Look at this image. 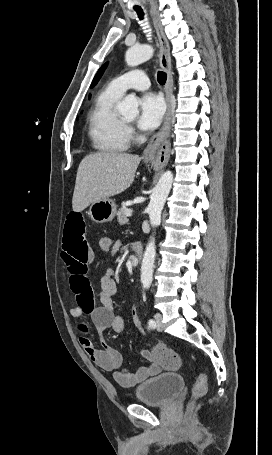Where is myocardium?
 Returning <instances> with one entry per match:
<instances>
[{
	"instance_id": "1",
	"label": "myocardium",
	"mask_w": 272,
	"mask_h": 455,
	"mask_svg": "<svg viewBox=\"0 0 272 455\" xmlns=\"http://www.w3.org/2000/svg\"><path fill=\"white\" fill-rule=\"evenodd\" d=\"M122 122L124 123L125 126H127V127L129 126V123L127 121L122 119Z\"/></svg>"
}]
</instances>
